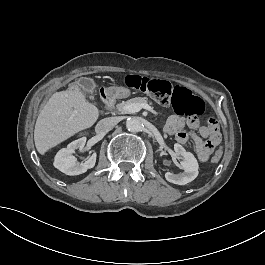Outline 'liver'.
<instances>
[{
  "label": "liver",
  "mask_w": 265,
  "mask_h": 265,
  "mask_svg": "<svg viewBox=\"0 0 265 265\" xmlns=\"http://www.w3.org/2000/svg\"><path fill=\"white\" fill-rule=\"evenodd\" d=\"M98 116L97 107L86 101L77 84L72 83L68 90L54 93L36 120L34 141L37 151L45 154L79 131L90 128Z\"/></svg>",
  "instance_id": "6515ba94"
}]
</instances>
